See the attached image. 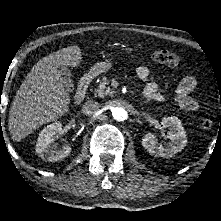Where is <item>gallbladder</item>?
Returning <instances> with one entry per match:
<instances>
[{"mask_svg":"<svg viewBox=\"0 0 221 221\" xmlns=\"http://www.w3.org/2000/svg\"><path fill=\"white\" fill-rule=\"evenodd\" d=\"M58 72L61 77V82L64 84L68 91L72 92L74 85L71 79L70 70L66 66H61L59 67Z\"/></svg>","mask_w":221,"mask_h":221,"instance_id":"gallbladder-1","label":"gallbladder"}]
</instances>
